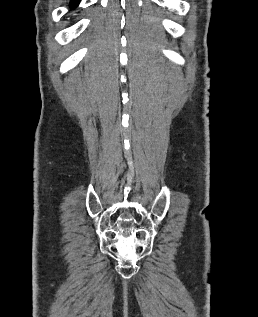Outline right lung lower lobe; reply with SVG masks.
Instances as JSON below:
<instances>
[{
  "label": "right lung lower lobe",
  "mask_w": 258,
  "mask_h": 317,
  "mask_svg": "<svg viewBox=\"0 0 258 317\" xmlns=\"http://www.w3.org/2000/svg\"><path fill=\"white\" fill-rule=\"evenodd\" d=\"M80 0H71V7H76Z\"/></svg>",
  "instance_id": "obj_1"
}]
</instances>
